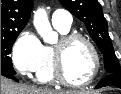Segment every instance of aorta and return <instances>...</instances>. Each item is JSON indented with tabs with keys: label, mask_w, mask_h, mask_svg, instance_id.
<instances>
[{
	"label": "aorta",
	"mask_w": 121,
	"mask_h": 94,
	"mask_svg": "<svg viewBox=\"0 0 121 94\" xmlns=\"http://www.w3.org/2000/svg\"><path fill=\"white\" fill-rule=\"evenodd\" d=\"M33 24L45 43L52 44L56 42L58 35L52 30L47 13L43 8L34 12Z\"/></svg>",
	"instance_id": "aorta-1"
}]
</instances>
